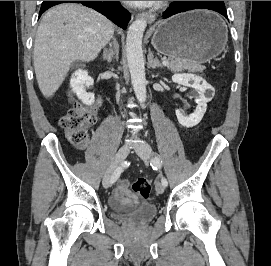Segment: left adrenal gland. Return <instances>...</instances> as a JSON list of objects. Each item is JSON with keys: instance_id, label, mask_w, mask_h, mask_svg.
<instances>
[{"instance_id": "1", "label": "left adrenal gland", "mask_w": 271, "mask_h": 266, "mask_svg": "<svg viewBox=\"0 0 271 266\" xmlns=\"http://www.w3.org/2000/svg\"><path fill=\"white\" fill-rule=\"evenodd\" d=\"M148 62L152 69L163 68V65L159 62L157 57L154 58L153 52H149Z\"/></svg>"}]
</instances>
